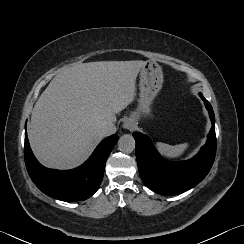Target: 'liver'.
Masks as SVG:
<instances>
[{"label": "liver", "instance_id": "obj_1", "mask_svg": "<svg viewBox=\"0 0 244 244\" xmlns=\"http://www.w3.org/2000/svg\"><path fill=\"white\" fill-rule=\"evenodd\" d=\"M144 64L98 61L63 68L32 111L28 139L38 161L58 170L83 164L104 137L101 125L134 100Z\"/></svg>", "mask_w": 244, "mask_h": 244}]
</instances>
